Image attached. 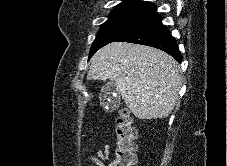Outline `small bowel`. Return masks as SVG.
<instances>
[{"mask_svg": "<svg viewBox=\"0 0 227 166\" xmlns=\"http://www.w3.org/2000/svg\"><path fill=\"white\" fill-rule=\"evenodd\" d=\"M109 155L110 148L109 146L104 145L101 148H99L95 154H92L90 156V160L95 166H106L104 162L109 159Z\"/></svg>", "mask_w": 227, "mask_h": 166, "instance_id": "obj_1", "label": "small bowel"}]
</instances>
